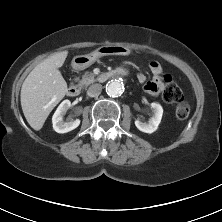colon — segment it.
Masks as SVG:
<instances>
[{
	"label": "colon",
	"mask_w": 222,
	"mask_h": 222,
	"mask_svg": "<svg viewBox=\"0 0 222 222\" xmlns=\"http://www.w3.org/2000/svg\"><path fill=\"white\" fill-rule=\"evenodd\" d=\"M163 98L168 103L177 104L175 110L177 119L184 120L189 116L190 107L184 100L182 90L170 77L164 78Z\"/></svg>",
	"instance_id": "5ec220e1"
}]
</instances>
